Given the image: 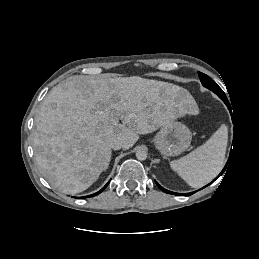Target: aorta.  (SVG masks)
Listing matches in <instances>:
<instances>
[{
    "label": "aorta",
    "mask_w": 259,
    "mask_h": 259,
    "mask_svg": "<svg viewBox=\"0 0 259 259\" xmlns=\"http://www.w3.org/2000/svg\"><path fill=\"white\" fill-rule=\"evenodd\" d=\"M136 158L140 161L146 160L147 158V152L144 150H138L136 152Z\"/></svg>",
    "instance_id": "1"
}]
</instances>
